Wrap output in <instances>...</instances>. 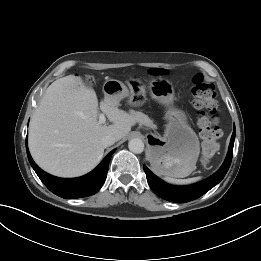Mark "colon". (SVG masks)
<instances>
[{
    "label": "colon",
    "instance_id": "obj_1",
    "mask_svg": "<svg viewBox=\"0 0 261 261\" xmlns=\"http://www.w3.org/2000/svg\"><path fill=\"white\" fill-rule=\"evenodd\" d=\"M192 107L198 115V127L202 138V157L210 159L218 149L221 129L218 125L216 92L212 84L205 81L202 74L192 80Z\"/></svg>",
    "mask_w": 261,
    "mask_h": 261
}]
</instances>
